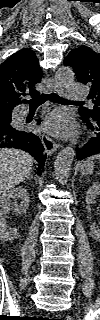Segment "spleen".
Instances as JSON below:
<instances>
[{"instance_id":"1","label":"spleen","mask_w":100,"mask_h":320,"mask_svg":"<svg viewBox=\"0 0 100 320\" xmlns=\"http://www.w3.org/2000/svg\"><path fill=\"white\" fill-rule=\"evenodd\" d=\"M98 158H99L98 156H92V157L88 158L87 161L98 159Z\"/></svg>"}]
</instances>
